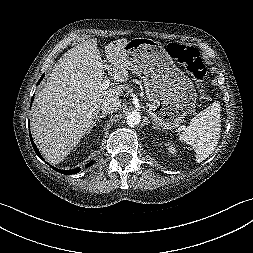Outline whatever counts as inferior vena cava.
<instances>
[{
  "label": "inferior vena cava",
  "mask_w": 253,
  "mask_h": 253,
  "mask_svg": "<svg viewBox=\"0 0 253 253\" xmlns=\"http://www.w3.org/2000/svg\"><path fill=\"white\" fill-rule=\"evenodd\" d=\"M121 106V101L117 98L114 99H109L104 101L101 106H100V110L104 113V114H108V113H113L116 112Z\"/></svg>",
  "instance_id": "1"
}]
</instances>
